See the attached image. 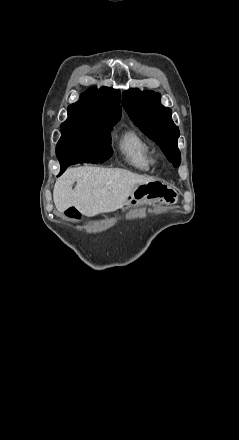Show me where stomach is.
Returning <instances> with one entry per match:
<instances>
[{"label":"stomach","instance_id":"obj_1","mask_svg":"<svg viewBox=\"0 0 239 440\" xmlns=\"http://www.w3.org/2000/svg\"><path fill=\"white\" fill-rule=\"evenodd\" d=\"M169 192L168 186L162 184V182H148V184H141L139 188H136L135 192H132L127 198L126 204L122 206L123 212L138 206V204H144L147 200H159V202H166L167 194Z\"/></svg>","mask_w":239,"mask_h":440}]
</instances>
